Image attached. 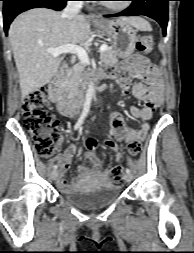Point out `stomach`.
Instances as JSON below:
<instances>
[{
	"instance_id": "obj_1",
	"label": "stomach",
	"mask_w": 194,
	"mask_h": 253,
	"mask_svg": "<svg viewBox=\"0 0 194 253\" xmlns=\"http://www.w3.org/2000/svg\"><path fill=\"white\" fill-rule=\"evenodd\" d=\"M110 37L116 54L121 58L130 56L136 46L137 36L133 27L122 19L95 22Z\"/></svg>"
}]
</instances>
